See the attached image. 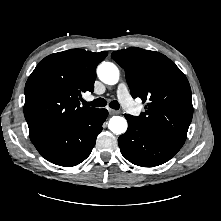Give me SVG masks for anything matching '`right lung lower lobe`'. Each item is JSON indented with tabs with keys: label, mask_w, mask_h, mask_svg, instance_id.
Instances as JSON below:
<instances>
[{
	"label": "right lung lower lobe",
	"mask_w": 221,
	"mask_h": 221,
	"mask_svg": "<svg viewBox=\"0 0 221 221\" xmlns=\"http://www.w3.org/2000/svg\"><path fill=\"white\" fill-rule=\"evenodd\" d=\"M107 115L106 109H98L78 119L63 133L33 144L53 164L64 167L78 165L90 155Z\"/></svg>",
	"instance_id": "obj_1"
}]
</instances>
